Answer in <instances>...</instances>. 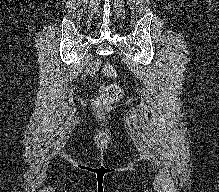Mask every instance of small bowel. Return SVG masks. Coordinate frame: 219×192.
Instances as JSON below:
<instances>
[{"instance_id":"obj_1","label":"small bowel","mask_w":219,"mask_h":192,"mask_svg":"<svg viewBox=\"0 0 219 192\" xmlns=\"http://www.w3.org/2000/svg\"><path fill=\"white\" fill-rule=\"evenodd\" d=\"M99 66H100V62L97 60L90 63L89 66L86 68V75L94 76Z\"/></svg>"}]
</instances>
